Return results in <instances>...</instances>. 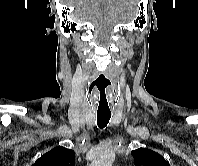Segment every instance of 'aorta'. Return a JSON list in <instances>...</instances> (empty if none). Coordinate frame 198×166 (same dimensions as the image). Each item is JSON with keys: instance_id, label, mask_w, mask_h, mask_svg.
<instances>
[{"instance_id": "762f6f07", "label": "aorta", "mask_w": 198, "mask_h": 166, "mask_svg": "<svg viewBox=\"0 0 198 166\" xmlns=\"http://www.w3.org/2000/svg\"><path fill=\"white\" fill-rule=\"evenodd\" d=\"M114 162V154L105 152L99 154L91 163L90 166H112Z\"/></svg>"}]
</instances>
